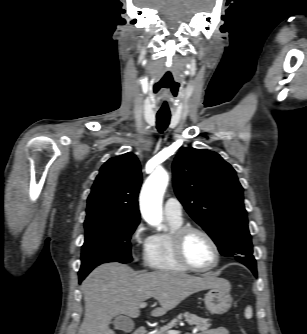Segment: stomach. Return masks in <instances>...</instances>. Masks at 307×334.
I'll list each match as a JSON object with an SVG mask.
<instances>
[{"mask_svg": "<svg viewBox=\"0 0 307 334\" xmlns=\"http://www.w3.org/2000/svg\"><path fill=\"white\" fill-rule=\"evenodd\" d=\"M231 285L226 279L219 278V284L205 294V305L212 314L226 313L232 304Z\"/></svg>", "mask_w": 307, "mask_h": 334, "instance_id": "1", "label": "stomach"}]
</instances>
